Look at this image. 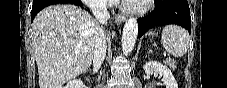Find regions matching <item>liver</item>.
I'll list each match as a JSON object with an SVG mask.
<instances>
[{
	"mask_svg": "<svg viewBox=\"0 0 227 88\" xmlns=\"http://www.w3.org/2000/svg\"><path fill=\"white\" fill-rule=\"evenodd\" d=\"M32 28L40 88H61L90 67L101 27L87 11L52 5L36 15Z\"/></svg>",
	"mask_w": 227,
	"mask_h": 88,
	"instance_id": "obj_1",
	"label": "liver"
}]
</instances>
